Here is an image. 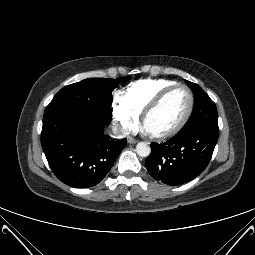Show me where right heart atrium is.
Returning a JSON list of instances; mask_svg holds the SVG:
<instances>
[{"label":"right heart atrium","instance_id":"obj_1","mask_svg":"<svg viewBox=\"0 0 255 255\" xmlns=\"http://www.w3.org/2000/svg\"><path fill=\"white\" fill-rule=\"evenodd\" d=\"M111 109L114 122L123 133H129L138 126L139 114L127 105L121 97L114 99Z\"/></svg>","mask_w":255,"mask_h":255}]
</instances>
